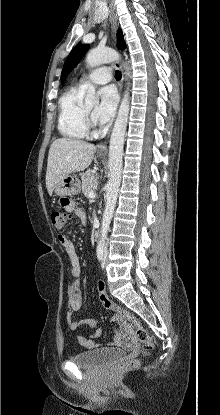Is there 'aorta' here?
<instances>
[{"label":"aorta","instance_id":"aorta-1","mask_svg":"<svg viewBox=\"0 0 220 415\" xmlns=\"http://www.w3.org/2000/svg\"><path fill=\"white\" fill-rule=\"evenodd\" d=\"M119 59V54L111 48L90 50L86 57V63L90 67H96L104 63L113 62ZM129 75L127 65H124ZM86 105H96L99 98L96 94L95 87L90 83L85 84ZM129 95L125 92L121 101L117 118L112 130L109 144V181L106 185V206L102 218L100 243H104L107 238L109 225L113 216L116 205L118 191L122 175V156L124 146V135L127 128L129 116Z\"/></svg>","mask_w":220,"mask_h":415}]
</instances>
